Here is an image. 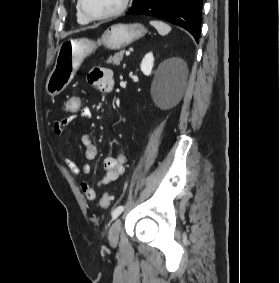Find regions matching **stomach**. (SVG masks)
Here are the masks:
<instances>
[{"label": "stomach", "mask_w": 280, "mask_h": 283, "mask_svg": "<svg viewBox=\"0 0 280 283\" xmlns=\"http://www.w3.org/2000/svg\"><path fill=\"white\" fill-rule=\"evenodd\" d=\"M146 28L139 23L114 24L93 41L88 38L67 39L63 41L56 57L53 70L46 82V92L51 97L61 93L72 81L85 58L100 46L110 50H119L146 34Z\"/></svg>", "instance_id": "obj_1"}]
</instances>
